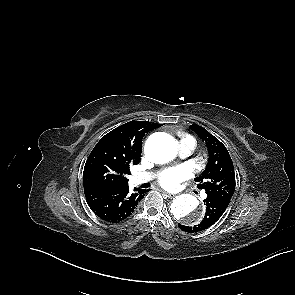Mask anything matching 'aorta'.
<instances>
[{
  "mask_svg": "<svg viewBox=\"0 0 295 295\" xmlns=\"http://www.w3.org/2000/svg\"><path fill=\"white\" fill-rule=\"evenodd\" d=\"M144 151L152 162L163 164L175 158L178 152L176 140L169 134L157 132L149 136ZM199 201L191 194L177 196L171 204V213L176 220L188 225H196L202 219V213L197 212Z\"/></svg>",
  "mask_w": 295,
  "mask_h": 295,
  "instance_id": "762f6f07",
  "label": "aorta"
}]
</instances>
